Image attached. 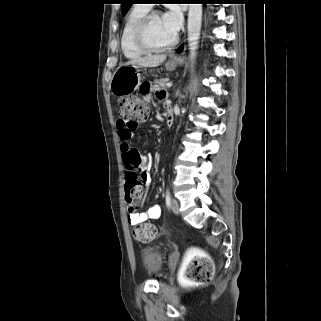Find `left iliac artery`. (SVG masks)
Masks as SVG:
<instances>
[{
    "label": "left iliac artery",
    "instance_id": "1",
    "mask_svg": "<svg viewBox=\"0 0 321 321\" xmlns=\"http://www.w3.org/2000/svg\"><path fill=\"white\" fill-rule=\"evenodd\" d=\"M170 203H171V195H170L169 190H167L166 191V205H167V207L170 206Z\"/></svg>",
    "mask_w": 321,
    "mask_h": 321
}]
</instances>
